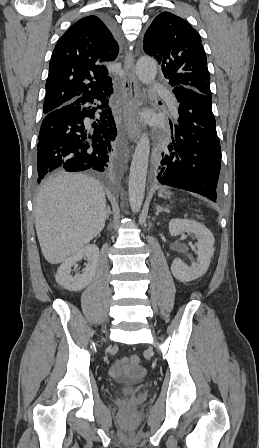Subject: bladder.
<instances>
[{
	"instance_id": "obj_1",
	"label": "bladder",
	"mask_w": 259,
	"mask_h": 448,
	"mask_svg": "<svg viewBox=\"0 0 259 448\" xmlns=\"http://www.w3.org/2000/svg\"><path fill=\"white\" fill-rule=\"evenodd\" d=\"M120 391L123 392V393L130 394V393H133L135 391V388H133V387H123V388L120 389Z\"/></svg>"
}]
</instances>
